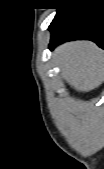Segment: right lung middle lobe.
Listing matches in <instances>:
<instances>
[{
  "mask_svg": "<svg viewBox=\"0 0 104 169\" xmlns=\"http://www.w3.org/2000/svg\"><path fill=\"white\" fill-rule=\"evenodd\" d=\"M62 9H63L62 7L58 8V11H57V13H58L60 10H62Z\"/></svg>",
  "mask_w": 104,
  "mask_h": 169,
  "instance_id": "1",
  "label": "right lung middle lobe"
}]
</instances>
